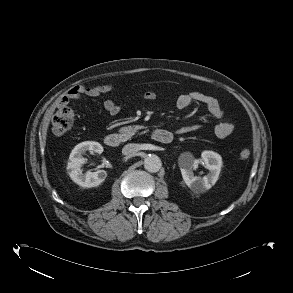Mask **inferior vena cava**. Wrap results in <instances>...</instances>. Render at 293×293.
Returning <instances> with one entry per match:
<instances>
[{
    "label": "inferior vena cava",
    "instance_id": "1",
    "mask_svg": "<svg viewBox=\"0 0 293 293\" xmlns=\"http://www.w3.org/2000/svg\"><path fill=\"white\" fill-rule=\"evenodd\" d=\"M138 151V145L134 143H129L125 145L122 149L123 155H131Z\"/></svg>",
    "mask_w": 293,
    "mask_h": 293
}]
</instances>
